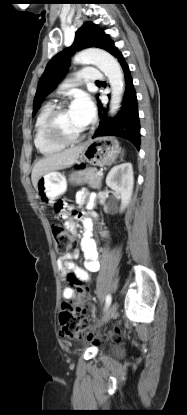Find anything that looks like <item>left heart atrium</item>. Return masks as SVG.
Here are the masks:
<instances>
[{"instance_id": "left-heart-atrium-1", "label": "left heart atrium", "mask_w": 187, "mask_h": 415, "mask_svg": "<svg viewBox=\"0 0 187 415\" xmlns=\"http://www.w3.org/2000/svg\"><path fill=\"white\" fill-rule=\"evenodd\" d=\"M70 110L86 127L93 119L95 114L94 104L91 98L85 93H79L73 100Z\"/></svg>"}]
</instances>
